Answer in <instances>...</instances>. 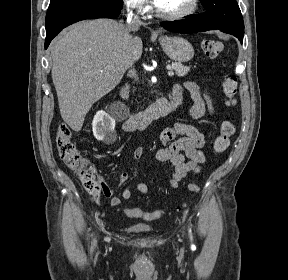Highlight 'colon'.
Listing matches in <instances>:
<instances>
[{
	"instance_id": "colon-1",
	"label": "colon",
	"mask_w": 288,
	"mask_h": 280,
	"mask_svg": "<svg viewBox=\"0 0 288 280\" xmlns=\"http://www.w3.org/2000/svg\"><path fill=\"white\" fill-rule=\"evenodd\" d=\"M201 47L206 57L211 59L217 58L224 49L223 43L214 39L204 40ZM237 88L238 81L236 76L229 75L224 79L223 91L227 98V106L235 105ZM234 130V125L229 121H224L221 124L220 134L215 139L213 146L216 153H222L228 148L230 137L233 135ZM56 145L61 160L68 168L78 173L86 191L92 196L99 195L103 186L98 177L97 169L89 160L81 155L72 140L71 130L66 124H61L58 128ZM188 189L193 194H197L200 191V187L196 183H190ZM124 213L131 218L153 220L160 217L163 214V210L147 212L140 208H125Z\"/></svg>"
}]
</instances>
